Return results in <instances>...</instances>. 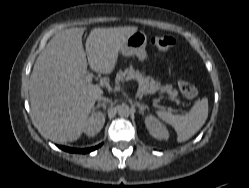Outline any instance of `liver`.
<instances>
[{
  "label": "liver",
  "mask_w": 249,
  "mask_h": 188,
  "mask_svg": "<svg viewBox=\"0 0 249 188\" xmlns=\"http://www.w3.org/2000/svg\"><path fill=\"white\" fill-rule=\"evenodd\" d=\"M137 27L94 28L82 44L85 28L56 34L38 56L29 82L31 110L38 129L56 143L76 141L84 132L100 85L86 82L87 60L96 72L109 74L118 54Z\"/></svg>",
  "instance_id": "obj_1"
}]
</instances>
